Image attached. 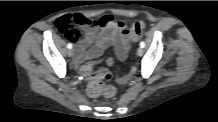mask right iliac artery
Segmentation results:
<instances>
[{
	"instance_id": "1",
	"label": "right iliac artery",
	"mask_w": 218,
	"mask_h": 122,
	"mask_svg": "<svg viewBox=\"0 0 218 122\" xmlns=\"http://www.w3.org/2000/svg\"><path fill=\"white\" fill-rule=\"evenodd\" d=\"M67 47H68L69 49H71V48H72V44H71V43H68Z\"/></svg>"
}]
</instances>
